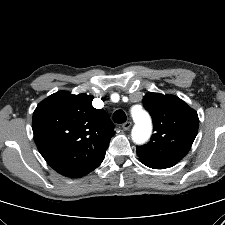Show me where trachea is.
<instances>
[{
  "instance_id": "3493384b",
  "label": "trachea",
  "mask_w": 225,
  "mask_h": 225,
  "mask_svg": "<svg viewBox=\"0 0 225 225\" xmlns=\"http://www.w3.org/2000/svg\"><path fill=\"white\" fill-rule=\"evenodd\" d=\"M127 120L126 114L123 110H117L113 114V121L115 123L121 124Z\"/></svg>"
}]
</instances>
